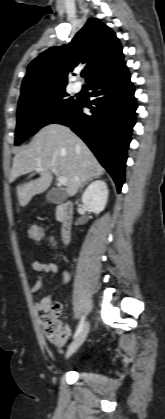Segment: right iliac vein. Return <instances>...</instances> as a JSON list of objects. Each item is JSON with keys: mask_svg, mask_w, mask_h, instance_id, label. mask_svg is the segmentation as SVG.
<instances>
[{"mask_svg": "<svg viewBox=\"0 0 165 419\" xmlns=\"http://www.w3.org/2000/svg\"><path fill=\"white\" fill-rule=\"evenodd\" d=\"M89 329H90V325L87 322L84 326L83 329L81 330V332L79 333V335L75 338V340L71 343V345L69 346L67 353H66V358H69L72 354H74L77 349L84 343L88 333H89Z\"/></svg>", "mask_w": 165, "mask_h": 419, "instance_id": "right-iliac-vein-1", "label": "right iliac vein"}]
</instances>
